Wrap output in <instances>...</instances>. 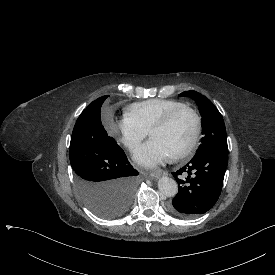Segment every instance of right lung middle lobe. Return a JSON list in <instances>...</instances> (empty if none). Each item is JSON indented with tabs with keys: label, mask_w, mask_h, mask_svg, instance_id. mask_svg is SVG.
I'll use <instances>...</instances> for the list:
<instances>
[{
	"label": "right lung middle lobe",
	"mask_w": 275,
	"mask_h": 275,
	"mask_svg": "<svg viewBox=\"0 0 275 275\" xmlns=\"http://www.w3.org/2000/svg\"><path fill=\"white\" fill-rule=\"evenodd\" d=\"M107 97L93 101L78 117L69 157L85 204L96 215L112 219L127 213L140 177L101 123L100 110Z\"/></svg>",
	"instance_id": "1"
}]
</instances>
